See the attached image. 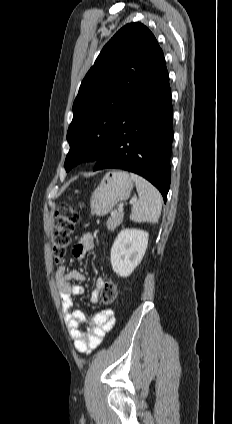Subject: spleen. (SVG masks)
<instances>
[{
    "instance_id": "spleen-1",
    "label": "spleen",
    "mask_w": 232,
    "mask_h": 424,
    "mask_svg": "<svg viewBox=\"0 0 232 424\" xmlns=\"http://www.w3.org/2000/svg\"><path fill=\"white\" fill-rule=\"evenodd\" d=\"M130 176L139 195V199L133 203L130 219L138 223H157L162 209L160 192L143 177L134 173Z\"/></svg>"
}]
</instances>
